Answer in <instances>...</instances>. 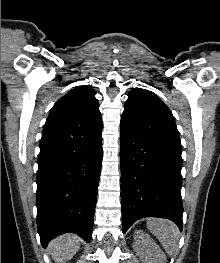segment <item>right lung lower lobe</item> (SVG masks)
I'll list each match as a JSON object with an SVG mask.
<instances>
[{
  "label": "right lung lower lobe",
  "mask_w": 220,
  "mask_h": 263,
  "mask_svg": "<svg viewBox=\"0 0 220 263\" xmlns=\"http://www.w3.org/2000/svg\"><path fill=\"white\" fill-rule=\"evenodd\" d=\"M102 127L82 137L41 139L37 227L43 247L65 232L90 242L102 165Z\"/></svg>",
  "instance_id": "right-lung-lower-lobe-1"
}]
</instances>
